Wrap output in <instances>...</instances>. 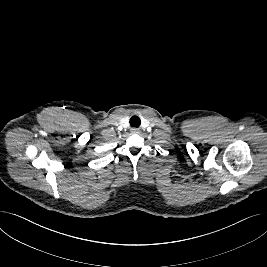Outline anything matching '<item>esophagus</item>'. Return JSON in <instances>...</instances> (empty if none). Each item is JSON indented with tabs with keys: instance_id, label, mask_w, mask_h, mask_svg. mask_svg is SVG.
<instances>
[{
	"instance_id": "1",
	"label": "esophagus",
	"mask_w": 267,
	"mask_h": 267,
	"mask_svg": "<svg viewBox=\"0 0 267 267\" xmlns=\"http://www.w3.org/2000/svg\"><path fill=\"white\" fill-rule=\"evenodd\" d=\"M131 132H132V133H139L140 130H139L138 128H132V129H131Z\"/></svg>"
}]
</instances>
